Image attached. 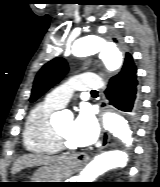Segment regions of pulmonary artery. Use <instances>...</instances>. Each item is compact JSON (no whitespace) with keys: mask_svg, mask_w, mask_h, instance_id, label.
<instances>
[{"mask_svg":"<svg viewBox=\"0 0 160 187\" xmlns=\"http://www.w3.org/2000/svg\"><path fill=\"white\" fill-rule=\"evenodd\" d=\"M102 87V81L97 75L77 74L70 80L51 91L46 101L58 108L65 106L76 91H91Z\"/></svg>","mask_w":160,"mask_h":187,"instance_id":"obj_1","label":"pulmonary artery"}]
</instances>
